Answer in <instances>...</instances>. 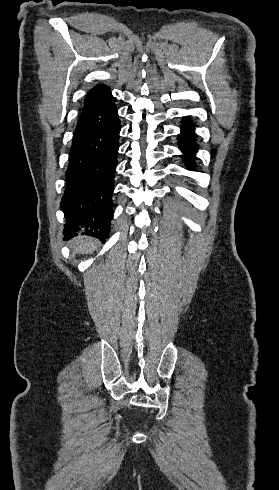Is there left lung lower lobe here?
<instances>
[{"label":"left lung lower lobe","instance_id":"0a47b994","mask_svg":"<svg viewBox=\"0 0 279 490\" xmlns=\"http://www.w3.org/2000/svg\"><path fill=\"white\" fill-rule=\"evenodd\" d=\"M184 122V128L182 129V133L179 135L180 141L178 144L179 148L186 154L184 158L191 161L190 164L188 161H186V163L189 164L187 169H192V166L195 164L193 162L195 159L194 154L197 152L198 147L195 141L194 126L191 124L188 118L184 119Z\"/></svg>","mask_w":279,"mask_h":490}]
</instances>
